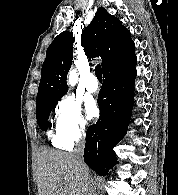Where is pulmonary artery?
<instances>
[{
	"label": "pulmonary artery",
	"mask_w": 178,
	"mask_h": 195,
	"mask_svg": "<svg viewBox=\"0 0 178 195\" xmlns=\"http://www.w3.org/2000/svg\"><path fill=\"white\" fill-rule=\"evenodd\" d=\"M85 86H86L87 91L91 93H94L98 90L99 84H98L97 77L95 74H90L87 77Z\"/></svg>",
	"instance_id": "1"
}]
</instances>
